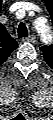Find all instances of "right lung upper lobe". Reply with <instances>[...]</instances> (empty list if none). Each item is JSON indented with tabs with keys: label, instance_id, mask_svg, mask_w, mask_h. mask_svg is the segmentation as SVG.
Instances as JSON below:
<instances>
[{
	"label": "right lung upper lobe",
	"instance_id": "right-lung-upper-lobe-1",
	"mask_svg": "<svg viewBox=\"0 0 53 120\" xmlns=\"http://www.w3.org/2000/svg\"><path fill=\"white\" fill-rule=\"evenodd\" d=\"M18 47L14 38H12L5 27L2 25L0 28V63L7 60L9 55Z\"/></svg>",
	"mask_w": 53,
	"mask_h": 120
}]
</instances>
